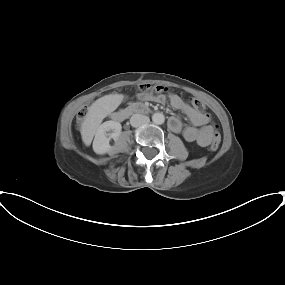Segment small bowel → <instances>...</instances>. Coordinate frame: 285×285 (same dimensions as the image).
Segmentation results:
<instances>
[{
	"label": "small bowel",
	"instance_id": "obj_1",
	"mask_svg": "<svg viewBox=\"0 0 285 285\" xmlns=\"http://www.w3.org/2000/svg\"><path fill=\"white\" fill-rule=\"evenodd\" d=\"M139 99L142 101H156L159 103L165 101L163 95L154 96L152 94L142 93L139 95ZM169 100L172 107L184 113L192 124L191 126H184L178 118L171 117L168 123L170 130L175 133H181L188 142H195L203 147L210 145L212 136L210 126L208 125L209 118L207 115L192 108L178 95L171 94Z\"/></svg>",
	"mask_w": 285,
	"mask_h": 285
}]
</instances>
